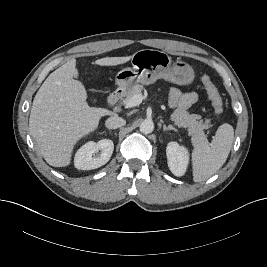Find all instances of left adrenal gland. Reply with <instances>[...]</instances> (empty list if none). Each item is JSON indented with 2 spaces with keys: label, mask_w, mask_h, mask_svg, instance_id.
<instances>
[{
  "label": "left adrenal gland",
  "mask_w": 267,
  "mask_h": 267,
  "mask_svg": "<svg viewBox=\"0 0 267 267\" xmlns=\"http://www.w3.org/2000/svg\"><path fill=\"white\" fill-rule=\"evenodd\" d=\"M167 130L177 131L176 128H174L172 125L166 126L165 124H163V131H167Z\"/></svg>",
  "instance_id": "a2214340"
}]
</instances>
